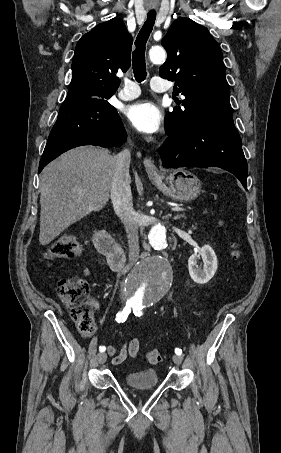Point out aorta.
I'll return each mask as SVG.
<instances>
[{"label":"aorta","instance_id":"762f6f07","mask_svg":"<svg viewBox=\"0 0 281 453\" xmlns=\"http://www.w3.org/2000/svg\"><path fill=\"white\" fill-rule=\"evenodd\" d=\"M150 60L162 64L166 60V52L161 47L151 48ZM148 239L156 250L168 246L166 229L161 224L151 228ZM173 273L169 263L158 256L149 257L137 265L127 279V293L133 304H152L159 301L170 289Z\"/></svg>","mask_w":281,"mask_h":453}]
</instances>
